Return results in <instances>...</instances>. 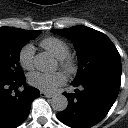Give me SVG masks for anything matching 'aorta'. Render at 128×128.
Returning <instances> with one entry per match:
<instances>
[{"instance_id":"762f6f07","label":"aorta","mask_w":128,"mask_h":128,"mask_svg":"<svg viewBox=\"0 0 128 128\" xmlns=\"http://www.w3.org/2000/svg\"><path fill=\"white\" fill-rule=\"evenodd\" d=\"M34 64L37 70L45 73L54 72L57 68L55 59L47 52H41L36 55ZM51 106L55 111H64L68 106V100L64 95L56 94L51 99Z\"/></svg>"}]
</instances>
